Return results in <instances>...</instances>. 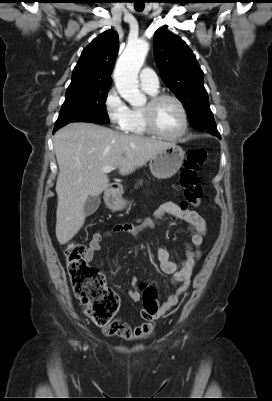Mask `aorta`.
Here are the masks:
<instances>
[{"instance_id":"1","label":"aorta","mask_w":272,"mask_h":401,"mask_svg":"<svg viewBox=\"0 0 272 401\" xmlns=\"http://www.w3.org/2000/svg\"><path fill=\"white\" fill-rule=\"evenodd\" d=\"M148 51L149 44L145 40L128 43L115 66L114 81L117 91L132 106H139L146 102L145 95L138 87V73Z\"/></svg>"}]
</instances>
